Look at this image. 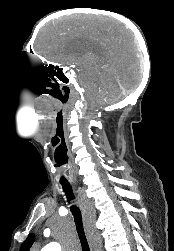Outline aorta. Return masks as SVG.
<instances>
[{
	"instance_id": "aorta-1",
	"label": "aorta",
	"mask_w": 174,
	"mask_h": 251,
	"mask_svg": "<svg viewBox=\"0 0 174 251\" xmlns=\"http://www.w3.org/2000/svg\"><path fill=\"white\" fill-rule=\"evenodd\" d=\"M41 251H61V247L57 243H49Z\"/></svg>"
}]
</instances>
